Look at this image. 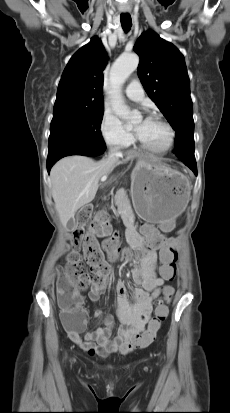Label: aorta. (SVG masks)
Listing matches in <instances>:
<instances>
[{
    "label": "aorta",
    "instance_id": "762f6f07",
    "mask_svg": "<svg viewBox=\"0 0 230 413\" xmlns=\"http://www.w3.org/2000/svg\"><path fill=\"white\" fill-rule=\"evenodd\" d=\"M139 64V57L136 54L121 55L112 65L110 73L112 107L115 114L123 119H131L132 112L125 104L121 87L135 71Z\"/></svg>",
    "mask_w": 230,
    "mask_h": 413
}]
</instances>
